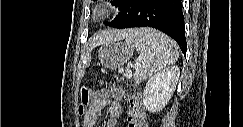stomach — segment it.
Returning a JSON list of instances; mask_svg holds the SVG:
<instances>
[{"label":"stomach","instance_id":"obj_1","mask_svg":"<svg viewBox=\"0 0 243 127\" xmlns=\"http://www.w3.org/2000/svg\"><path fill=\"white\" fill-rule=\"evenodd\" d=\"M133 47L129 43L111 42L99 49V60L103 66L116 69L122 67L132 56Z\"/></svg>","mask_w":243,"mask_h":127}]
</instances>
